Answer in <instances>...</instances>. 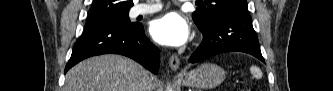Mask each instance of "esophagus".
<instances>
[{
	"label": "esophagus",
	"mask_w": 333,
	"mask_h": 91,
	"mask_svg": "<svg viewBox=\"0 0 333 91\" xmlns=\"http://www.w3.org/2000/svg\"><path fill=\"white\" fill-rule=\"evenodd\" d=\"M180 60L177 55L173 54L170 57V67L173 71H176L179 68Z\"/></svg>",
	"instance_id": "obj_1"
}]
</instances>
